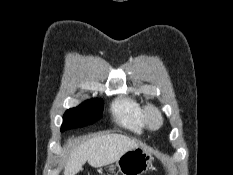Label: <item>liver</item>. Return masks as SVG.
Wrapping results in <instances>:
<instances>
[{"label": "liver", "mask_w": 233, "mask_h": 175, "mask_svg": "<svg viewBox=\"0 0 233 175\" xmlns=\"http://www.w3.org/2000/svg\"><path fill=\"white\" fill-rule=\"evenodd\" d=\"M140 143L121 134L94 136L78 145L70 154L65 165L64 175H75L82 170L86 161L94 168L116 162L128 150Z\"/></svg>", "instance_id": "obj_1"}]
</instances>
